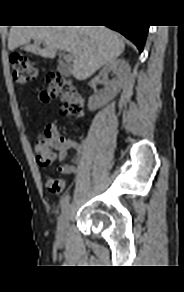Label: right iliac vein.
<instances>
[{
	"label": "right iliac vein",
	"instance_id": "1",
	"mask_svg": "<svg viewBox=\"0 0 184 292\" xmlns=\"http://www.w3.org/2000/svg\"><path fill=\"white\" fill-rule=\"evenodd\" d=\"M71 217V207L68 206L62 213L57 225V239L63 241L65 239L69 220Z\"/></svg>",
	"mask_w": 184,
	"mask_h": 292
}]
</instances>
